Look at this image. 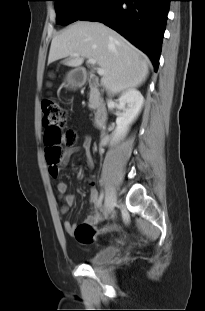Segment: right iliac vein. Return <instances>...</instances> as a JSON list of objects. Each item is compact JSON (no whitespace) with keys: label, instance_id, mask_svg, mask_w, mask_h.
<instances>
[{"label":"right iliac vein","instance_id":"1","mask_svg":"<svg viewBox=\"0 0 205 311\" xmlns=\"http://www.w3.org/2000/svg\"><path fill=\"white\" fill-rule=\"evenodd\" d=\"M117 201V195L113 190H110L105 198V204H104V208H105V214H108L115 206Z\"/></svg>","mask_w":205,"mask_h":311}]
</instances>
